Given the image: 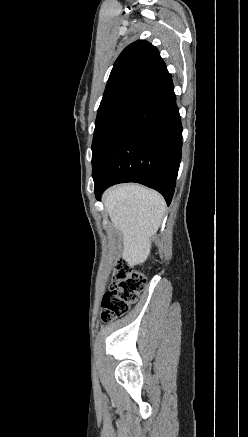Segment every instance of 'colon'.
Here are the masks:
<instances>
[{
  "instance_id": "obj_1",
  "label": "colon",
  "mask_w": 248,
  "mask_h": 437,
  "mask_svg": "<svg viewBox=\"0 0 248 437\" xmlns=\"http://www.w3.org/2000/svg\"><path fill=\"white\" fill-rule=\"evenodd\" d=\"M144 289V280L141 273L134 270L131 264L119 263L110 278L109 287L103 296V322H110L124 315L137 301Z\"/></svg>"
}]
</instances>
